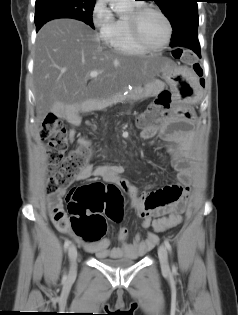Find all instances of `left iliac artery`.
I'll list each match as a JSON object with an SVG mask.
<instances>
[{
  "mask_svg": "<svg viewBox=\"0 0 238 315\" xmlns=\"http://www.w3.org/2000/svg\"><path fill=\"white\" fill-rule=\"evenodd\" d=\"M164 244H165L166 248L168 249V251L171 253L172 252V246H171L170 242L167 239H165ZM172 269H175L174 265L172 266Z\"/></svg>",
  "mask_w": 238,
  "mask_h": 315,
  "instance_id": "left-iliac-artery-1",
  "label": "left iliac artery"
}]
</instances>
